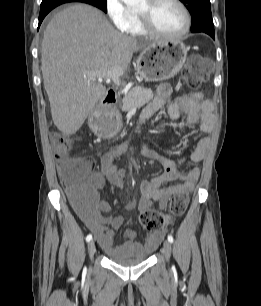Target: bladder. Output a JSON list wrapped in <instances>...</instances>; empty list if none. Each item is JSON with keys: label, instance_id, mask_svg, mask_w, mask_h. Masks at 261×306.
Instances as JSON below:
<instances>
[{"label": "bladder", "instance_id": "31cf9c89", "mask_svg": "<svg viewBox=\"0 0 261 306\" xmlns=\"http://www.w3.org/2000/svg\"><path fill=\"white\" fill-rule=\"evenodd\" d=\"M149 258L148 253L132 254V255H122L118 257L109 256V260L122 267H131L137 264H141L147 261Z\"/></svg>", "mask_w": 261, "mask_h": 306}]
</instances>
